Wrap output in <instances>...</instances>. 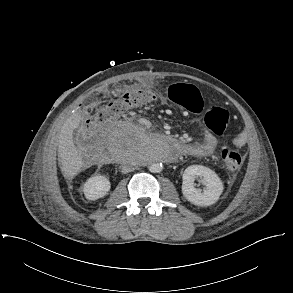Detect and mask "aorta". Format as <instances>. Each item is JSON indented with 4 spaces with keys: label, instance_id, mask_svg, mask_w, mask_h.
<instances>
[{
    "label": "aorta",
    "instance_id": "1",
    "mask_svg": "<svg viewBox=\"0 0 293 293\" xmlns=\"http://www.w3.org/2000/svg\"><path fill=\"white\" fill-rule=\"evenodd\" d=\"M151 147L158 156H165L168 152L169 144L161 138H154L151 140ZM163 166L159 162H154L149 166V171L152 173H160Z\"/></svg>",
    "mask_w": 293,
    "mask_h": 293
}]
</instances>
